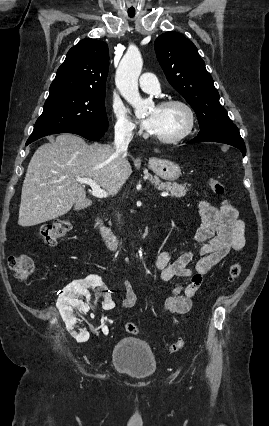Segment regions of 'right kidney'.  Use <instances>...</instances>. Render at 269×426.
<instances>
[{"label": "right kidney", "instance_id": "ca27d5eb", "mask_svg": "<svg viewBox=\"0 0 269 426\" xmlns=\"http://www.w3.org/2000/svg\"><path fill=\"white\" fill-rule=\"evenodd\" d=\"M97 286L99 287L96 289V292L99 295H105L107 293V288L103 286L101 278L94 275L89 276L84 280L69 281L67 286L61 287L60 292L62 295L58 299L57 308L59 309L62 319L66 324L67 330L71 331L77 320L73 315V309H88V305L80 300L79 297L85 296L87 301H89L90 293L88 289ZM103 308L105 311L114 310L115 305L112 302L110 296L105 298ZM76 338L80 341H86L89 338V334L82 332L80 335L76 336Z\"/></svg>", "mask_w": 269, "mask_h": 426}]
</instances>
